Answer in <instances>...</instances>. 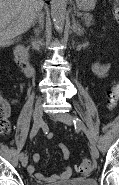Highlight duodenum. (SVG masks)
<instances>
[{
    "label": "duodenum",
    "instance_id": "obj_1",
    "mask_svg": "<svg viewBox=\"0 0 119 185\" xmlns=\"http://www.w3.org/2000/svg\"><path fill=\"white\" fill-rule=\"evenodd\" d=\"M16 63L21 67L26 76L32 77L35 73V68L29 61L28 51L22 42H19L14 49Z\"/></svg>",
    "mask_w": 119,
    "mask_h": 185
}]
</instances>
